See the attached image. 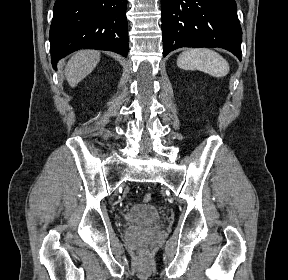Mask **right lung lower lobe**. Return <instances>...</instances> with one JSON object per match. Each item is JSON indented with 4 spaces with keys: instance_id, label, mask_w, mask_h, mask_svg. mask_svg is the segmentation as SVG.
<instances>
[{
    "instance_id": "1",
    "label": "right lung lower lobe",
    "mask_w": 288,
    "mask_h": 280,
    "mask_svg": "<svg viewBox=\"0 0 288 280\" xmlns=\"http://www.w3.org/2000/svg\"><path fill=\"white\" fill-rule=\"evenodd\" d=\"M127 0H56L50 27L51 62L79 49L127 56Z\"/></svg>"
}]
</instances>
